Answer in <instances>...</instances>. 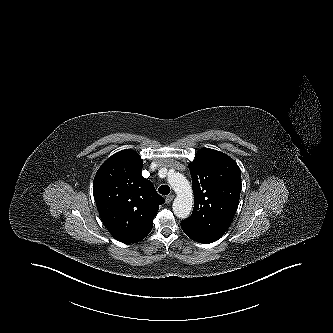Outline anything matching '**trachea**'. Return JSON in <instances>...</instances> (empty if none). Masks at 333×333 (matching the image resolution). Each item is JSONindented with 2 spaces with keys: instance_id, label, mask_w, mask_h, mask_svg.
<instances>
[{
  "instance_id": "trachea-1",
  "label": "trachea",
  "mask_w": 333,
  "mask_h": 333,
  "mask_svg": "<svg viewBox=\"0 0 333 333\" xmlns=\"http://www.w3.org/2000/svg\"><path fill=\"white\" fill-rule=\"evenodd\" d=\"M158 191L162 195H168L170 193V187L168 185H161Z\"/></svg>"
}]
</instances>
